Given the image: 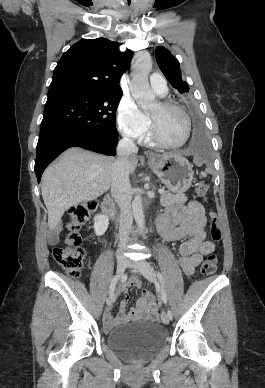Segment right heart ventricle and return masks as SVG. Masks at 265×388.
<instances>
[{"label":"right heart ventricle","instance_id":"e07e8e85","mask_svg":"<svg viewBox=\"0 0 265 388\" xmlns=\"http://www.w3.org/2000/svg\"><path fill=\"white\" fill-rule=\"evenodd\" d=\"M157 97L158 98H165L166 97V91H158L157 92ZM145 141L148 143V144H152V138L149 136L145 139Z\"/></svg>","mask_w":265,"mask_h":388}]
</instances>
